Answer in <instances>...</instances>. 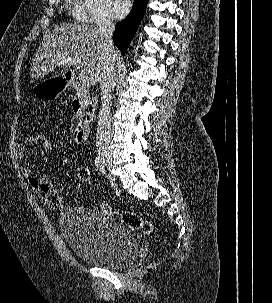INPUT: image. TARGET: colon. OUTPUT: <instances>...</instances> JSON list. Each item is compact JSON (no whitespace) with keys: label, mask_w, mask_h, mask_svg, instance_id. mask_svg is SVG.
<instances>
[{"label":"colon","mask_w":272,"mask_h":303,"mask_svg":"<svg viewBox=\"0 0 272 303\" xmlns=\"http://www.w3.org/2000/svg\"><path fill=\"white\" fill-rule=\"evenodd\" d=\"M36 136L35 147L42 152H50L54 148V142L51 137L46 133H39ZM77 174L79 180L85 184L89 185L90 183V171L88 167L83 164L79 163L77 165ZM44 204L51 208L56 209L61 206V197L60 194L56 191H52L42 197ZM101 209L108 214L115 215L119 217V219L129 227H132L137 230H141L145 233H149L153 229V224L151 221L145 219L141 215L132 212V211H119L113 209L109 206L104 204H100Z\"/></svg>","instance_id":"5ec220e1"}]
</instances>
